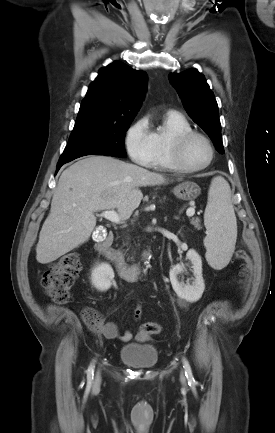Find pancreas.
I'll return each mask as SVG.
<instances>
[{"mask_svg": "<svg viewBox=\"0 0 275 433\" xmlns=\"http://www.w3.org/2000/svg\"><path fill=\"white\" fill-rule=\"evenodd\" d=\"M191 224L195 226V228H200V221L198 219H192Z\"/></svg>", "mask_w": 275, "mask_h": 433, "instance_id": "pancreas-1", "label": "pancreas"}]
</instances>
